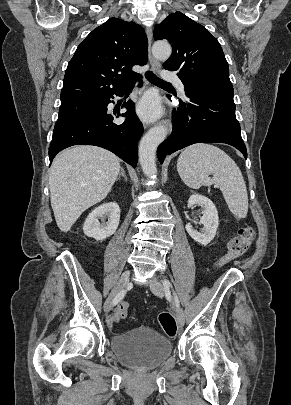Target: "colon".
Masks as SVG:
<instances>
[{"label":"colon","instance_id":"5ec220e1","mask_svg":"<svg viewBox=\"0 0 291 405\" xmlns=\"http://www.w3.org/2000/svg\"><path fill=\"white\" fill-rule=\"evenodd\" d=\"M254 236V230L250 226H244L237 230L236 235L233 236L227 246L226 253L221 256L215 263L216 267H221L235 259L242 256L249 248ZM130 304L127 301L121 302L109 318L113 323L118 324L126 318ZM158 322L163 332L170 338L177 334V324L174 316L168 312L163 311L158 315Z\"/></svg>","mask_w":291,"mask_h":405}]
</instances>
